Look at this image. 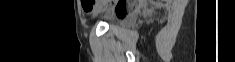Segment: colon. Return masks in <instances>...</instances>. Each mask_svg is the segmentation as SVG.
<instances>
[{
    "instance_id": "5ec220e1",
    "label": "colon",
    "mask_w": 235,
    "mask_h": 62,
    "mask_svg": "<svg viewBox=\"0 0 235 62\" xmlns=\"http://www.w3.org/2000/svg\"><path fill=\"white\" fill-rule=\"evenodd\" d=\"M128 8H122V7H118L117 8V16L118 17H123L126 13Z\"/></svg>"
}]
</instances>
